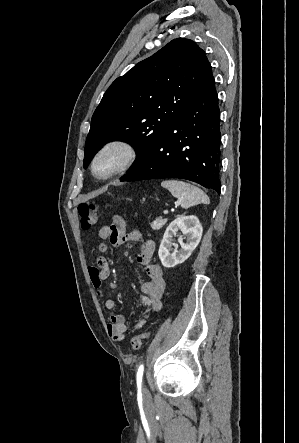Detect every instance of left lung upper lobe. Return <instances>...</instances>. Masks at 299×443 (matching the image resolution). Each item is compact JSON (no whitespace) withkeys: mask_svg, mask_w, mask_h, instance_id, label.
I'll return each instance as SVG.
<instances>
[{"mask_svg":"<svg viewBox=\"0 0 299 443\" xmlns=\"http://www.w3.org/2000/svg\"><path fill=\"white\" fill-rule=\"evenodd\" d=\"M212 78L205 52L185 38L139 62L112 83L96 108L84 168L104 144L126 139L135 143L134 169Z\"/></svg>","mask_w":299,"mask_h":443,"instance_id":"obj_1","label":"left lung upper lobe"}]
</instances>
